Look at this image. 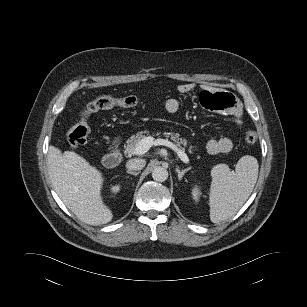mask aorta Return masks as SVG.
Masks as SVG:
<instances>
[{
  "instance_id": "obj_1",
  "label": "aorta",
  "mask_w": 307,
  "mask_h": 307,
  "mask_svg": "<svg viewBox=\"0 0 307 307\" xmlns=\"http://www.w3.org/2000/svg\"><path fill=\"white\" fill-rule=\"evenodd\" d=\"M152 178L158 182H164L168 178V171L161 166H157L152 171Z\"/></svg>"
}]
</instances>
